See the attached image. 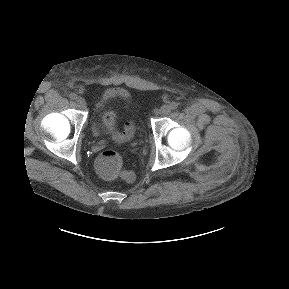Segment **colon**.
<instances>
[{
  "label": "colon",
  "mask_w": 289,
  "mask_h": 289,
  "mask_svg": "<svg viewBox=\"0 0 289 289\" xmlns=\"http://www.w3.org/2000/svg\"><path fill=\"white\" fill-rule=\"evenodd\" d=\"M131 131L132 125L128 122L125 124V133L130 134ZM96 166L99 173L107 179L128 178V174L123 169V158L115 150H104L98 156Z\"/></svg>",
  "instance_id": "obj_1"
}]
</instances>
